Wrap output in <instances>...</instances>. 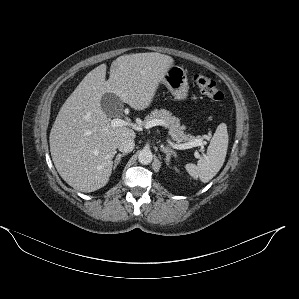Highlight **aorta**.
<instances>
[{"label":"aorta","mask_w":299,"mask_h":299,"mask_svg":"<svg viewBox=\"0 0 299 299\" xmlns=\"http://www.w3.org/2000/svg\"><path fill=\"white\" fill-rule=\"evenodd\" d=\"M153 155L152 152L148 149H143L139 152L138 161L142 165H148L152 162Z\"/></svg>","instance_id":"obj_1"}]
</instances>
